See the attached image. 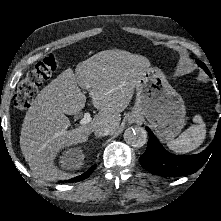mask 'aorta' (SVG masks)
<instances>
[{"instance_id":"aorta-1","label":"aorta","mask_w":221,"mask_h":221,"mask_svg":"<svg viewBox=\"0 0 221 221\" xmlns=\"http://www.w3.org/2000/svg\"><path fill=\"white\" fill-rule=\"evenodd\" d=\"M124 140L128 145L141 147L147 141V132L143 127H129L124 132Z\"/></svg>"}]
</instances>
